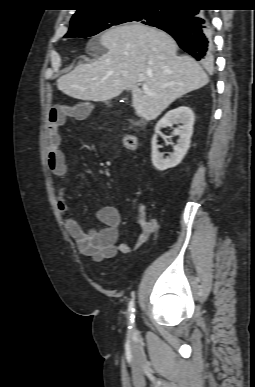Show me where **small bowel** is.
<instances>
[{
	"mask_svg": "<svg viewBox=\"0 0 255 387\" xmlns=\"http://www.w3.org/2000/svg\"><path fill=\"white\" fill-rule=\"evenodd\" d=\"M65 113L61 109H53L49 118V154L48 166L50 170L62 176L66 173V164L62 151L60 150L61 135L58 131L64 123ZM71 186L63 185L58 189L56 203L58 210L63 216L65 227L74 240L78 251L90 256L96 261L112 258L117 254H129L132 249L126 243H119V227L122 221L119 210L113 206H103L98 209L96 215L98 220L104 224V228L85 229L69 213V198ZM148 236L141 233L135 244L138 249L145 244Z\"/></svg>",
	"mask_w": 255,
	"mask_h": 387,
	"instance_id": "1",
	"label": "small bowel"
}]
</instances>
